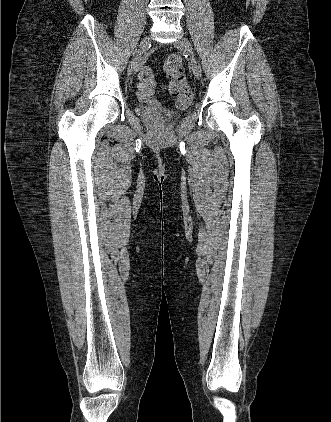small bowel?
I'll return each instance as SVG.
<instances>
[{
	"mask_svg": "<svg viewBox=\"0 0 331 422\" xmlns=\"http://www.w3.org/2000/svg\"><path fill=\"white\" fill-rule=\"evenodd\" d=\"M140 83L138 88V96L142 100H148L154 90V82L151 76H143L142 72L140 73Z\"/></svg>",
	"mask_w": 331,
	"mask_h": 422,
	"instance_id": "1",
	"label": "small bowel"
}]
</instances>
